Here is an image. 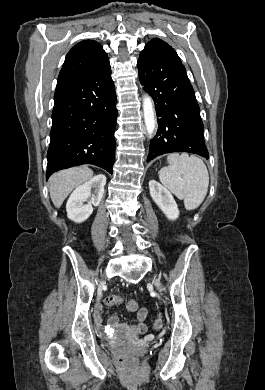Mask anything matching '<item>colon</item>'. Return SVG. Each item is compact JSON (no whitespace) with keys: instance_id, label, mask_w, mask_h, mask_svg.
I'll return each mask as SVG.
<instances>
[{"instance_id":"5ec220e1","label":"colon","mask_w":265,"mask_h":390,"mask_svg":"<svg viewBox=\"0 0 265 390\" xmlns=\"http://www.w3.org/2000/svg\"><path fill=\"white\" fill-rule=\"evenodd\" d=\"M124 301L123 297L120 295H110L105 299V303L108 306H115L117 304H120ZM126 307L129 311H136L138 309V304L135 300L129 299L126 300ZM163 326V322L161 319H156L153 322V328L155 330H160Z\"/></svg>"}]
</instances>
